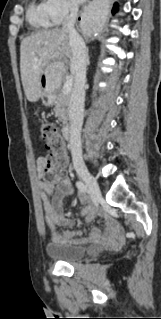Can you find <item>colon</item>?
<instances>
[{"instance_id": "colon-1", "label": "colon", "mask_w": 161, "mask_h": 319, "mask_svg": "<svg viewBox=\"0 0 161 319\" xmlns=\"http://www.w3.org/2000/svg\"><path fill=\"white\" fill-rule=\"evenodd\" d=\"M39 129L43 139L52 149L44 165L45 178L52 181L65 175L69 156L63 148V138L54 124L41 122Z\"/></svg>"}]
</instances>
